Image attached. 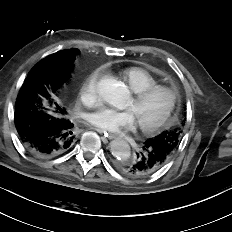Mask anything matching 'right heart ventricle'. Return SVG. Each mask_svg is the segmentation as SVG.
<instances>
[{
  "label": "right heart ventricle",
  "mask_w": 232,
  "mask_h": 232,
  "mask_svg": "<svg viewBox=\"0 0 232 232\" xmlns=\"http://www.w3.org/2000/svg\"><path fill=\"white\" fill-rule=\"evenodd\" d=\"M122 78L134 93L157 85V80L151 73L138 67L126 68L122 72Z\"/></svg>",
  "instance_id": "e07e8e85"
}]
</instances>
